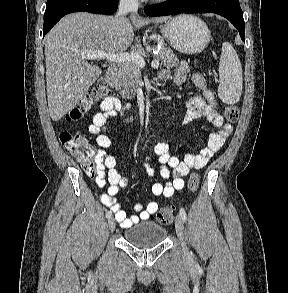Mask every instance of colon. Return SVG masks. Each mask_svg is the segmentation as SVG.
<instances>
[{"instance_id":"colon-1","label":"colon","mask_w":288,"mask_h":293,"mask_svg":"<svg viewBox=\"0 0 288 293\" xmlns=\"http://www.w3.org/2000/svg\"><path fill=\"white\" fill-rule=\"evenodd\" d=\"M112 92L106 82L100 80L88 92V94L67 114L68 121H77L81 119L98 103L110 98ZM225 118L229 122H236L239 116V110L234 105L226 106L224 109ZM59 139L65 150L73 156L80 164L88 176H94L96 171V151L89 143L86 136L79 132L64 131L60 134ZM200 184V176L197 173L191 174L188 180V190L195 193ZM174 206H165L161 208L156 215L157 221L162 224L170 223L175 215Z\"/></svg>"}]
</instances>
